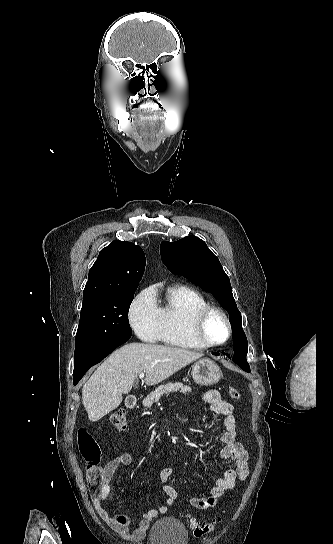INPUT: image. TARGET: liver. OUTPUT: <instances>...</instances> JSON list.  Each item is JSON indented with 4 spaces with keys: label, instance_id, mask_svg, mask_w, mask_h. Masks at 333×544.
Instances as JSON below:
<instances>
[{
    "label": "liver",
    "instance_id": "6515ba94",
    "mask_svg": "<svg viewBox=\"0 0 333 544\" xmlns=\"http://www.w3.org/2000/svg\"><path fill=\"white\" fill-rule=\"evenodd\" d=\"M203 357L183 348L129 343L115 350L92 374L82 389L88 418L96 422L116 409L141 372L146 385H156Z\"/></svg>",
    "mask_w": 333,
    "mask_h": 544
}]
</instances>
